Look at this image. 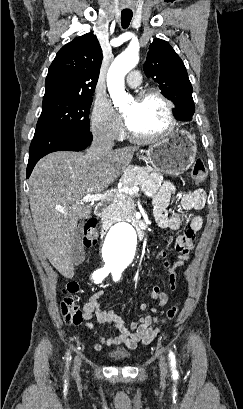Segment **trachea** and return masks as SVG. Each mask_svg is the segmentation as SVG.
Segmentation results:
<instances>
[{"mask_svg": "<svg viewBox=\"0 0 243 409\" xmlns=\"http://www.w3.org/2000/svg\"><path fill=\"white\" fill-rule=\"evenodd\" d=\"M133 13L131 11H122L121 13V25L123 28H127L131 22Z\"/></svg>", "mask_w": 243, "mask_h": 409, "instance_id": "1", "label": "trachea"}]
</instances>
